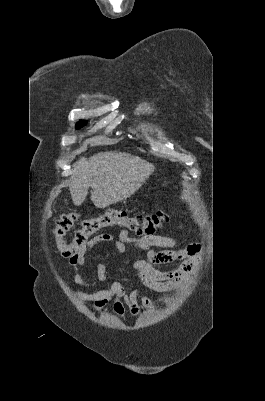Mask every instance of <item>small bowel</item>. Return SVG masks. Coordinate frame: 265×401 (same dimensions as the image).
Instances as JSON below:
<instances>
[{
	"mask_svg": "<svg viewBox=\"0 0 265 401\" xmlns=\"http://www.w3.org/2000/svg\"><path fill=\"white\" fill-rule=\"evenodd\" d=\"M103 243L111 244L121 254L127 251L128 245L141 252L143 257L133 263L132 270L140 284L154 291H163L175 287L184 290L188 280L195 274L196 260L201 249V246L195 243L177 249L176 240L163 235L151 234L134 238L127 231H121L118 236L99 234L90 239L84 249L69 257L74 282L82 288H92L98 283L108 281L104 262H99L94 266L95 279L92 282L85 281L79 272L80 267H91L86 255L95 246ZM177 260L183 261L177 269L161 271L155 268L156 265ZM75 294L83 302H93L97 311H102L107 303L113 299V311L120 318H125L126 309L132 315L137 316L141 312V306L146 309L152 306L148 297L142 295L137 289L128 292L125 284L120 281H114L107 288L95 292L76 290Z\"/></svg>",
	"mask_w": 265,
	"mask_h": 401,
	"instance_id": "obj_1",
	"label": "small bowel"
}]
</instances>
